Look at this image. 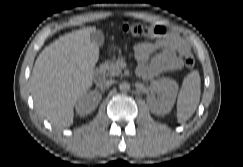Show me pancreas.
<instances>
[{"label": "pancreas", "instance_id": "cf45deb5", "mask_svg": "<svg viewBox=\"0 0 243 167\" xmlns=\"http://www.w3.org/2000/svg\"><path fill=\"white\" fill-rule=\"evenodd\" d=\"M124 62L123 57H118L113 61H107L102 64V68L106 71L109 77L119 76L121 74V64Z\"/></svg>", "mask_w": 243, "mask_h": 167}]
</instances>
